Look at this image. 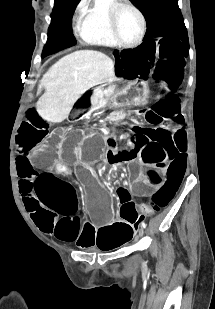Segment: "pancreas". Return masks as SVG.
<instances>
[{"label": "pancreas", "mask_w": 215, "mask_h": 309, "mask_svg": "<svg viewBox=\"0 0 215 309\" xmlns=\"http://www.w3.org/2000/svg\"><path fill=\"white\" fill-rule=\"evenodd\" d=\"M107 86V90H105L104 86H96L92 96H91V102L96 106V104H99L103 98H109L111 104L115 106L116 104V96H114V90L117 86L115 84V80H106L105 82ZM110 88V90H108Z\"/></svg>", "instance_id": "pancreas-1"}]
</instances>
